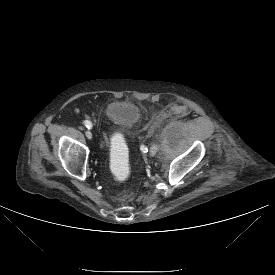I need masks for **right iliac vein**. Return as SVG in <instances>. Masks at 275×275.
I'll return each instance as SVG.
<instances>
[{
    "instance_id": "63e3f726",
    "label": "right iliac vein",
    "mask_w": 275,
    "mask_h": 275,
    "mask_svg": "<svg viewBox=\"0 0 275 275\" xmlns=\"http://www.w3.org/2000/svg\"><path fill=\"white\" fill-rule=\"evenodd\" d=\"M85 135L88 139H92V133L90 131H85Z\"/></svg>"
}]
</instances>
